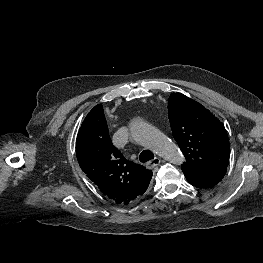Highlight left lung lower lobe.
<instances>
[{"mask_svg":"<svg viewBox=\"0 0 263 263\" xmlns=\"http://www.w3.org/2000/svg\"><path fill=\"white\" fill-rule=\"evenodd\" d=\"M188 182L197 188H211L222 180L225 173L224 171L213 170H182Z\"/></svg>","mask_w":263,"mask_h":263,"instance_id":"left-lung-lower-lobe-1","label":"left lung lower lobe"}]
</instances>
